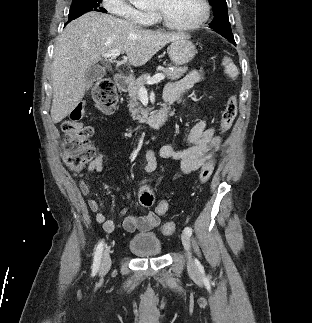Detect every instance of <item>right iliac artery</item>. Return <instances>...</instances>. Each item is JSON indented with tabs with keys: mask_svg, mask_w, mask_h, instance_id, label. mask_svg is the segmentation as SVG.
I'll use <instances>...</instances> for the list:
<instances>
[{
	"mask_svg": "<svg viewBox=\"0 0 312 323\" xmlns=\"http://www.w3.org/2000/svg\"><path fill=\"white\" fill-rule=\"evenodd\" d=\"M103 245L104 242L103 240L98 244L95 256H94V261H93V271H97L99 266H100V261H101V256H102V251H103Z\"/></svg>",
	"mask_w": 312,
	"mask_h": 323,
	"instance_id": "1",
	"label": "right iliac artery"
}]
</instances>
